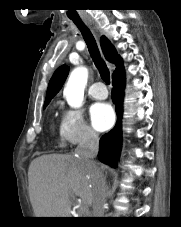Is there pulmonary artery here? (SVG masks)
Segmentation results:
<instances>
[{
	"label": "pulmonary artery",
	"mask_w": 181,
	"mask_h": 227,
	"mask_svg": "<svg viewBox=\"0 0 181 227\" xmlns=\"http://www.w3.org/2000/svg\"><path fill=\"white\" fill-rule=\"evenodd\" d=\"M88 94L93 99L102 100L108 96L107 89L102 82H95L88 89Z\"/></svg>",
	"instance_id": "1"
}]
</instances>
